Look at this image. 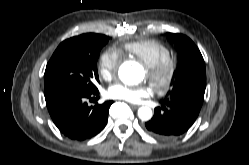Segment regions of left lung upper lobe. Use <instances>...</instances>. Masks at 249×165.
Returning <instances> with one entry per match:
<instances>
[{"mask_svg": "<svg viewBox=\"0 0 249 165\" xmlns=\"http://www.w3.org/2000/svg\"><path fill=\"white\" fill-rule=\"evenodd\" d=\"M174 42L179 56V68L171 96L186 92L204 95L206 88V70L203 57L197 46L187 36L168 33Z\"/></svg>", "mask_w": 249, "mask_h": 165, "instance_id": "5c2ea615", "label": "left lung upper lobe"}]
</instances>
